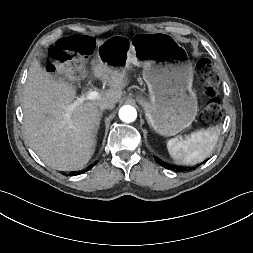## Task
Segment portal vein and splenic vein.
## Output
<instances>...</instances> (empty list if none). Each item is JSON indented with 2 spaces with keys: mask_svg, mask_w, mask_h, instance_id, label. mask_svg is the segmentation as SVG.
<instances>
[{
  "mask_svg": "<svg viewBox=\"0 0 253 253\" xmlns=\"http://www.w3.org/2000/svg\"><path fill=\"white\" fill-rule=\"evenodd\" d=\"M97 98H99V93L97 91H88L85 96H82L80 98V100L81 101H84V100H95Z\"/></svg>",
  "mask_w": 253,
  "mask_h": 253,
  "instance_id": "18ae733b",
  "label": "portal vein and splenic vein"
}]
</instances>
